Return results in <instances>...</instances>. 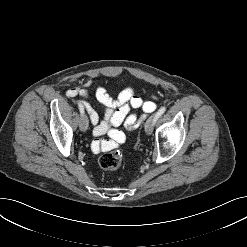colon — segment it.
I'll list each match as a JSON object with an SVG mask.
<instances>
[{
	"instance_id": "obj_1",
	"label": "colon",
	"mask_w": 247,
	"mask_h": 247,
	"mask_svg": "<svg viewBox=\"0 0 247 247\" xmlns=\"http://www.w3.org/2000/svg\"><path fill=\"white\" fill-rule=\"evenodd\" d=\"M122 134L117 133L114 135L113 141L106 142L104 145H101L99 148L107 151L103 153L99 160V166L106 171H114L118 169L121 165V156L117 151H108L115 147V142H119L122 139Z\"/></svg>"
}]
</instances>
